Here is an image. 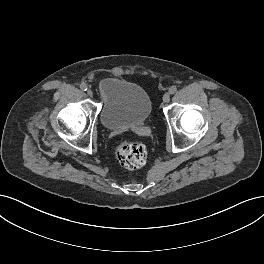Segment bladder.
Listing matches in <instances>:
<instances>
[{
  "instance_id": "1",
  "label": "bladder",
  "mask_w": 264,
  "mask_h": 264,
  "mask_svg": "<svg viewBox=\"0 0 264 264\" xmlns=\"http://www.w3.org/2000/svg\"><path fill=\"white\" fill-rule=\"evenodd\" d=\"M100 118L111 130L139 126L151 114L152 102L140 85L117 78H108L99 85Z\"/></svg>"
}]
</instances>
